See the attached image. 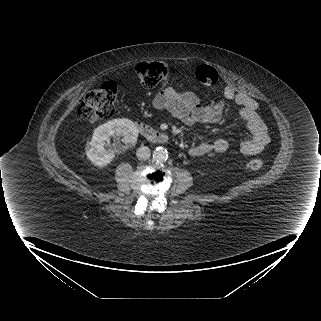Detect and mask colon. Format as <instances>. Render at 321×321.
Returning a JSON list of instances; mask_svg holds the SVG:
<instances>
[{"instance_id":"colon-1","label":"colon","mask_w":321,"mask_h":321,"mask_svg":"<svg viewBox=\"0 0 321 321\" xmlns=\"http://www.w3.org/2000/svg\"><path fill=\"white\" fill-rule=\"evenodd\" d=\"M135 73L145 87H154L169 76L168 66L161 61L142 62L135 68ZM197 80L215 91L218 86L219 76L217 70L209 65H201L195 72ZM118 89L113 81L104 82L100 88L90 91L76 109L79 119L101 121L110 118L114 114ZM264 165L262 158H254L248 162L251 170H260Z\"/></svg>"}]
</instances>
